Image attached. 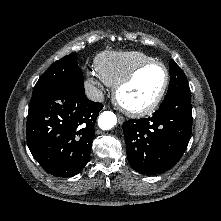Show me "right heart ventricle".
I'll list each match as a JSON object with an SVG mask.
<instances>
[{"label": "right heart ventricle", "instance_id": "right-heart-ventricle-1", "mask_svg": "<svg viewBox=\"0 0 221 221\" xmlns=\"http://www.w3.org/2000/svg\"><path fill=\"white\" fill-rule=\"evenodd\" d=\"M153 60L140 51H105L95 59L98 77L109 86H115L133 68L143 62Z\"/></svg>", "mask_w": 221, "mask_h": 221}]
</instances>
